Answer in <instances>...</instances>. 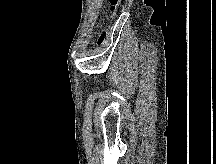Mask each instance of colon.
Listing matches in <instances>:
<instances>
[{
	"label": "colon",
	"instance_id": "colon-1",
	"mask_svg": "<svg viewBox=\"0 0 216 164\" xmlns=\"http://www.w3.org/2000/svg\"><path fill=\"white\" fill-rule=\"evenodd\" d=\"M122 0H110V12H111V15H112V18H114L117 14V11H118V7L120 5ZM109 31L110 30H106V31H102L100 34H99V37H98V46H103L106 41L108 40L109 38Z\"/></svg>",
	"mask_w": 216,
	"mask_h": 164
}]
</instances>
